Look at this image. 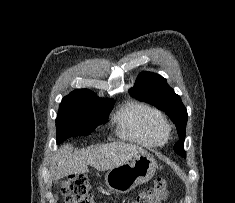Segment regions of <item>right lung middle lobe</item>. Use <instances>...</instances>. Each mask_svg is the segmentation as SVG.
<instances>
[{
  "mask_svg": "<svg viewBox=\"0 0 235 203\" xmlns=\"http://www.w3.org/2000/svg\"><path fill=\"white\" fill-rule=\"evenodd\" d=\"M114 100L104 101L92 93H70L62 99L56 118L57 144L69 137L89 135L106 123Z\"/></svg>",
  "mask_w": 235,
  "mask_h": 203,
  "instance_id": "1",
  "label": "right lung middle lobe"
}]
</instances>
